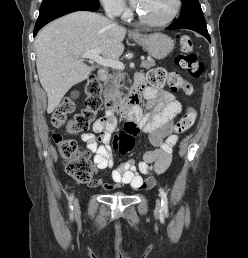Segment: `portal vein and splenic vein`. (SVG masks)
Listing matches in <instances>:
<instances>
[{
    "mask_svg": "<svg viewBox=\"0 0 248 258\" xmlns=\"http://www.w3.org/2000/svg\"><path fill=\"white\" fill-rule=\"evenodd\" d=\"M81 57L84 59L85 58L91 59L104 67H111V68L118 69V70L124 69V65L121 61L114 60V59H105L100 56L99 50L88 51V52L84 53ZM141 60H144V58L141 57Z\"/></svg>",
    "mask_w": 248,
    "mask_h": 258,
    "instance_id": "portal-vein-and-splenic-vein-1",
    "label": "portal vein and splenic vein"
}]
</instances>
